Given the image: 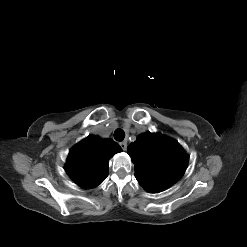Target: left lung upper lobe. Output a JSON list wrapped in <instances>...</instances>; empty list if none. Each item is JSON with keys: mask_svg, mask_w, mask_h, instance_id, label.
<instances>
[{"mask_svg": "<svg viewBox=\"0 0 247 247\" xmlns=\"http://www.w3.org/2000/svg\"><path fill=\"white\" fill-rule=\"evenodd\" d=\"M127 152L135 177L148 192H160L175 184L184 174L189 156L174 139L160 133H143L132 142Z\"/></svg>", "mask_w": 247, "mask_h": 247, "instance_id": "5c2ea615", "label": "left lung upper lobe"}]
</instances>
